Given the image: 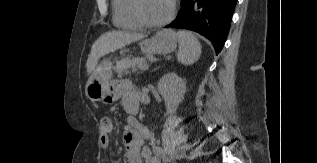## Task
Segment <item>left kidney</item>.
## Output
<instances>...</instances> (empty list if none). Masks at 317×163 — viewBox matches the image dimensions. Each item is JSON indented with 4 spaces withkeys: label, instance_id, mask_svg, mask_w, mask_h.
<instances>
[{
    "label": "left kidney",
    "instance_id": "left-kidney-1",
    "mask_svg": "<svg viewBox=\"0 0 317 163\" xmlns=\"http://www.w3.org/2000/svg\"><path fill=\"white\" fill-rule=\"evenodd\" d=\"M158 92L164 98L167 114L176 111L186 92V82L176 73H167L158 82Z\"/></svg>",
    "mask_w": 317,
    "mask_h": 163
}]
</instances>
